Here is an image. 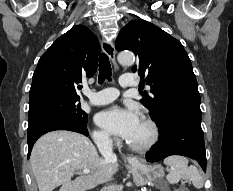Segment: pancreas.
Wrapping results in <instances>:
<instances>
[{
    "label": "pancreas",
    "mask_w": 233,
    "mask_h": 191,
    "mask_svg": "<svg viewBox=\"0 0 233 191\" xmlns=\"http://www.w3.org/2000/svg\"><path fill=\"white\" fill-rule=\"evenodd\" d=\"M101 191H122L121 185L106 186Z\"/></svg>",
    "instance_id": "obj_1"
}]
</instances>
